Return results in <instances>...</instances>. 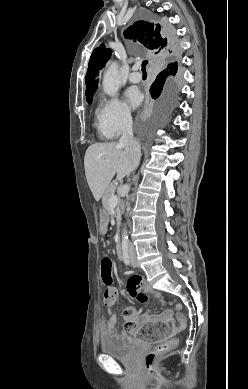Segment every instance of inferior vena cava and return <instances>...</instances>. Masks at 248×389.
Returning <instances> with one entry per match:
<instances>
[{"label":"inferior vena cava","instance_id":"1","mask_svg":"<svg viewBox=\"0 0 248 389\" xmlns=\"http://www.w3.org/2000/svg\"><path fill=\"white\" fill-rule=\"evenodd\" d=\"M119 145L123 146L127 153L130 155L132 160V170H135L140 163L141 151L139 143L136 142L133 138L131 117L125 118L123 122L122 136L120 138ZM126 188L127 190H129L128 185L126 186ZM127 251L130 254L134 253V247L130 242L127 243Z\"/></svg>","mask_w":248,"mask_h":389}]
</instances>
